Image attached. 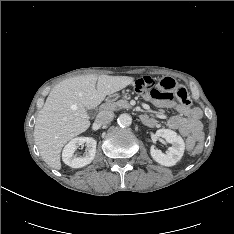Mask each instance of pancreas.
<instances>
[{"instance_id": "cf45deb5", "label": "pancreas", "mask_w": 234, "mask_h": 234, "mask_svg": "<svg viewBox=\"0 0 234 234\" xmlns=\"http://www.w3.org/2000/svg\"><path fill=\"white\" fill-rule=\"evenodd\" d=\"M131 105L127 100H118L117 102L107 101L103 105V109L110 110V111H116L120 109H131Z\"/></svg>"}]
</instances>
